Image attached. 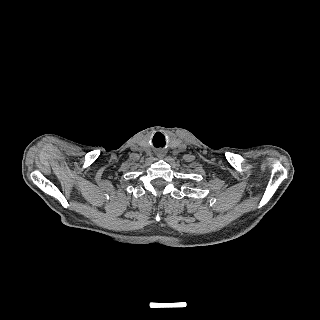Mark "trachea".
<instances>
[{"mask_svg": "<svg viewBox=\"0 0 320 320\" xmlns=\"http://www.w3.org/2000/svg\"><path fill=\"white\" fill-rule=\"evenodd\" d=\"M153 145L155 147H163L165 145V137L162 133L157 132L153 137Z\"/></svg>", "mask_w": 320, "mask_h": 320, "instance_id": "1", "label": "trachea"}]
</instances>
